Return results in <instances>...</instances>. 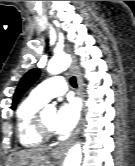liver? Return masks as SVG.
<instances>
[{
  "mask_svg": "<svg viewBox=\"0 0 135 166\" xmlns=\"http://www.w3.org/2000/svg\"><path fill=\"white\" fill-rule=\"evenodd\" d=\"M48 150V148L44 147L22 150L12 154L9 157V160L13 155H20L22 157L23 165H28L30 162H32L33 164H41L43 166H47L49 165L48 157L46 155Z\"/></svg>",
  "mask_w": 135,
  "mask_h": 166,
  "instance_id": "liver-1",
  "label": "liver"
}]
</instances>
